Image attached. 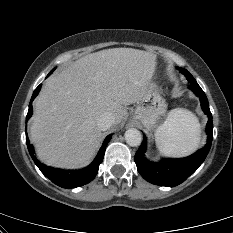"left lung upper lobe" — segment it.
<instances>
[{"mask_svg":"<svg viewBox=\"0 0 233 233\" xmlns=\"http://www.w3.org/2000/svg\"><path fill=\"white\" fill-rule=\"evenodd\" d=\"M179 70L186 76V78L188 79V81L190 83L196 82V80L193 78V76L186 69L179 68Z\"/></svg>","mask_w":233,"mask_h":233,"instance_id":"1","label":"left lung upper lobe"}]
</instances>
